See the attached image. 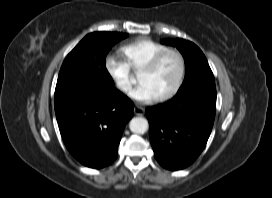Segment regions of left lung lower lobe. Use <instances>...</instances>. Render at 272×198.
<instances>
[{"mask_svg": "<svg viewBox=\"0 0 272 198\" xmlns=\"http://www.w3.org/2000/svg\"><path fill=\"white\" fill-rule=\"evenodd\" d=\"M215 108V85H199L146 109L150 141L161 166L180 170L196 160L210 136Z\"/></svg>", "mask_w": 272, "mask_h": 198, "instance_id": "obj_1", "label": "left lung lower lobe"}]
</instances>
